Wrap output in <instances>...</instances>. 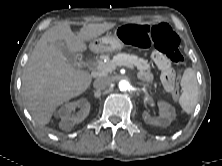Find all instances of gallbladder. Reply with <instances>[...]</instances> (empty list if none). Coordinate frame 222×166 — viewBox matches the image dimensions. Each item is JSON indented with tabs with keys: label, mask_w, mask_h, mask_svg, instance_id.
Wrapping results in <instances>:
<instances>
[{
	"label": "gallbladder",
	"mask_w": 222,
	"mask_h": 166,
	"mask_svg": "<svg viewBox=\"0 0 222 166\" xmlns=\"http://www.w3.org/2000/svg\"><path fill=\"white\" fill-rule=\"evenodd\" d=\"M61 51L67 62L72 66H76L77 62H79L77 54L72 52L65 43L61 46Z\"/></svg>",
	"instance_id": "gallbladder-1"
}]
</instances>
